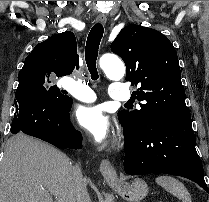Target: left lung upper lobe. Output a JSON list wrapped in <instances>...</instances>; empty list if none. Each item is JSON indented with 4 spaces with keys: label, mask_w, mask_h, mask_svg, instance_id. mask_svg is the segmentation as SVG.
Masks as SVG:
<instances>
[{
    "label": "left lung upper lobe",
    "mask_w": 209,
    "mask_h": 202,
    "mask_svg": "<svg viewBox=\"0 0 209 202\" xmlns=\"http://www.w3.org/2000/svg\"><path fill=\"white\" fill-rule=\"evenodd\" d=\"M111 51L125 62L126 81L138 87L132 96L142 102L140 110L118 113L122 126L140 131L155 115L191 118L185 104L177 53L162 33L135 24L127 25L112 42Z\"/></svg>",
    "instance_id": "1"
}]
</instances>
